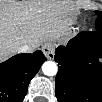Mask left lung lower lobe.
Wrapping results in <instances>:
<instances>
[{
  "instance_id": "0a47b994",
  "label": "left lung lower lobe",
  "mask_w": 102,
  "mask_h": 102,
  "mask_svg": "<svg viewBox=\"0 0 102 102\" xmlns=\"http://www.w3.org/2000/svg\"><path fill=\"white\" fill-rule=\"evenodd\" d=\"M102 30L82 32L55 51L59 102H102Z\"/></svg>"
}]
</instances>
